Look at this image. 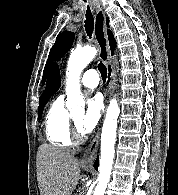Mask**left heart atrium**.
Masks as SVG:
<instances>
[{
    "mask_svg": "<svg viewBox=\"0 0 178 195\" xmlns=\"http://www.w3.org/2000/svg\"><path fill=\"white\" fill-rule=\"evenodd\" d=\"M102 112V102L95 96L88 100L85 114L81 118L79 128L82 133H90L97 125Z\"/></svg>",
    "mask_w": 178,
    "mask_h": 195,
    "instance_id": "left-heart-atrium-1",
    "label": "left heart atrium"
}]
</instances>
